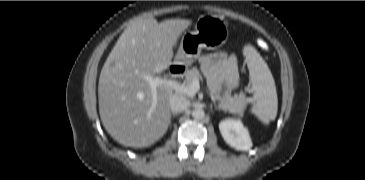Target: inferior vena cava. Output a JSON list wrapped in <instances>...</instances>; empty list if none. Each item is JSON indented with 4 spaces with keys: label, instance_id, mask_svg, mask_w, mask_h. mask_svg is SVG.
<instances>
[{
    "label": "inferior vena cava",
    "instance_id": "602c4592",
    "mask_svg": "<svg viewBox=\"0 0 365 180\" xmlns=\"http://www.w3.org/2000/svg\"><path fill=\"white\" fill-rule=\"evenodd\" d=\"M189 105L187 98L180 94H173L169 100V106L172 112L178 113L185 110Z\"/></svg>",
    "mask_w": 365,
    "mask_h": 180
}]
</instances>
